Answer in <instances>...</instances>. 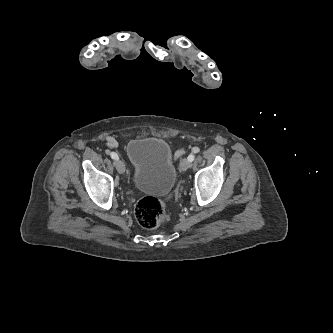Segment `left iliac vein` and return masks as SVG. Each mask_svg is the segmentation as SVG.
I'll list each match as a JSON object with an SVG mask.
<instances>
[{
    "label": "left iliac vein",
    "instance_id": "left-iliac-vein-1",
    "mask_svg": "<svg viewBox=\"0 0 333 333\" xmlns=\"http://www.w3.org/2000/svg\"><path fill=\"white\" fill-rule=\"evenodd\" d=\"M180 167L182 171H186L188 168L191 167V162L188 159L184 158L180 163Z\"/></svg>",
    "mask_w": 333,
    "mask_h": 333
}]
</instances>
